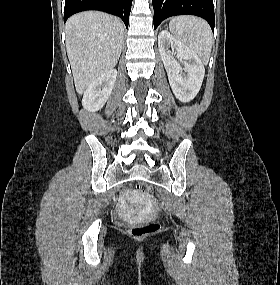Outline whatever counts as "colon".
Returning <instances> with one entry per match:
<instances>
[{
  "instance_id": "5ec220e1",
  "label": "colon",
  "mask_w": 280,
  "mask_h": 285,
  "mask_svg": "<svg viewBox=\"0 0 280 285\" xmlns=\"http://www.w3.org/2000/svg\"><path fill=\"white\" fill-rule=\"evenodd\" d=\"M136 189L141 192L148 191L149 187L146 183H138ZM159 227L158 222H149L146 224H138L131 228L130 234L132 237L140 239L144 238L157 231Z\"/></svg>"
}]
</instances>
